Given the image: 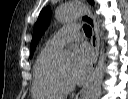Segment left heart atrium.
<instances>
[{
  "label": "left heart atrium",
  "instance_id": "1",
  "mask_svg": "<svg viewBox=\"0 0 128 99\" xmlns=\"http://www.w3.org/2000/svg\"><path fill=\"white\" fill-rule=\"evenodd\" d=\"M91 60V53L85 47L74 52L73 63L70 68V78L73 82H81L87 76Z\"/></svg>",
  "mask_w": 128,
  "mask_h": 99
}]
</instances>
